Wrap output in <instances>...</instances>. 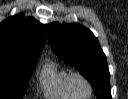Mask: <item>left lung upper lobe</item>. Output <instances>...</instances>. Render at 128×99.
I'll return each instance as SVG.
<instances>
[{
	"label": "left lung upper lobe",
	"instance_id": "5c2ea615",
	"mask_svg": "<svg viewBox=\"0 0 128 99\" xmlns=\"http://www.w3.org/2000/svg\"><path fill=\"white\" fill-rule=\"evenodd\" d=\"M46 31L54 52L88 79L97 99H112L106 56L93 33L80 24L57 22L46 25Z\"/></svg>",
	"mask_w": 128,
	"mask_h": 99
}]
</instances>
